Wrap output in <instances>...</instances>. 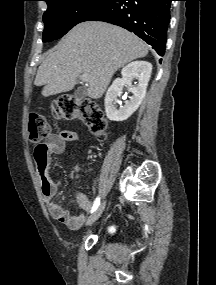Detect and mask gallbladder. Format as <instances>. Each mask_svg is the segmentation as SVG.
<instances>
[{"label":"gallbladder","instance_id":"obj_1","mask_svg":"<svg viewBox=\"0 0 216 285\" xmlns=\"http://www.w3.org/2000/svg\"><path fill=\"white\" fill-rule=\"evenodd\" d=\"M86 88L84 87H79L75 92H74V96L75 98L81 100L86 96Z\"/></svg>","mask_w":216,"mask_h":285}]
</instances>
